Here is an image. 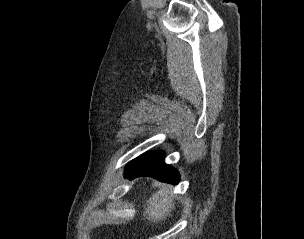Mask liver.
<instances>
[{"label":"liver","instance_id":"liver-1","mask_svg":"<svg viewBox=\"0 0 304 239\" xmlns=\"http://www.w3.org/2000/svg\"><path fill=\"white\" fill-rule=\"evenodd\" d=\"M171 187L163 185L162 188L155 193L147 202V207L143 212V216L149 222L158 223L171 216L172 210L175 209L172 198L168 196Z\"/></svg>","mask_w":304,"mask_h":239}]
</instances>
